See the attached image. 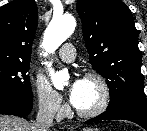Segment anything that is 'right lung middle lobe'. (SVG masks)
<instances>
[{
	"label": "right lung middle lobe",
	"instance_id": "right-lung-middle-lobe-1",
	"mask_svg": "<svg viewBox=\"0 0 147 131\" xmlns=\"http://www.w3.org/2000/svg\"><path fill=\"white\" fill-rule=\"evenodd\" d=\"M30 61L0 59V95L31 99Z\"/></svg>",
	"mask_w": 147,
	"mask_h": 131
}]
</instances>
